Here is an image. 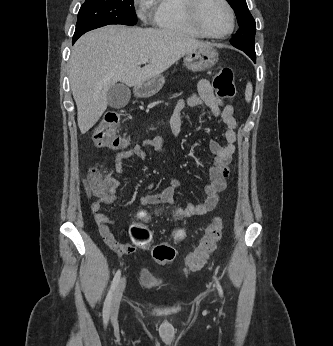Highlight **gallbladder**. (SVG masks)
I'll use <instances>...</instances> for the list:
<instances>
[{
	"instance_id": "gallbladder-1",
	"label": "gallbladder",
	"mask_w": 333,
	"mask_h": 346,
	"mask_svg": "<svg viewBox=\"0 0 333 346\" xmlns=\"http://www.w3.org/2000/svg\"><path fill=\"white\" fill-rule=\"evenodd\" d=\"M131 97V91L124 83L114 84L107 92L108 105L115 109L125 107Z\"/></svg>"
}]
</instances>
